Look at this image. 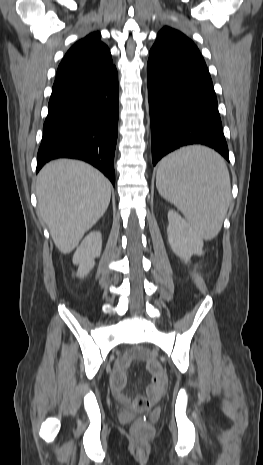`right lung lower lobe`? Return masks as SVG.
I'll return each instance as SVG.
<instances>
[{
    "label": "right lung lower lobe",
    "mask_w": 263,
    "mask_h": 465,
    "mask_svg": "<svg viewBox=\"0 0 263 465\" xmlns=\"http://www.w3.org/2000/svg\"><path fill=\"white\" fill-rule=\"evenodd\" d=\"M118 118L115 67L100 75L54 84L36 172L52 159L74 158L92 164L115 185Z\"/></svg>",
    "instance_id": "obj_1"
}]
</instances>
